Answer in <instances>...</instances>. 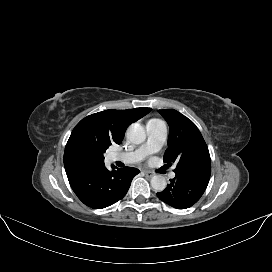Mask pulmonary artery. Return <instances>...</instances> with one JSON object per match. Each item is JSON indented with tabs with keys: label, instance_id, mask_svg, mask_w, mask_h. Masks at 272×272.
I'll return each mask as SVG.
<instances>
[{
	"label": "pulmonary artery",
	"instance_id": "pulmonary-artery-1",
	"mask_svg": "<svg viewBox=\"0 0 272 272\" xmlns=\"http://www.w3.org/2000/svg\"><path fill=\"white\" fill-rule=\"evenodd\" d=\"M147 141L138 149L126 153H113L114 161H121L127 164H133L142 161L149 154L158 151L165 143L167 137V127L164 122L157 119L148 121ZM176 174L171 172L170 177L174 178Z\"/></svg>",
	"mask_w": 272,
	"mask_h": 272
}]
</instances>
